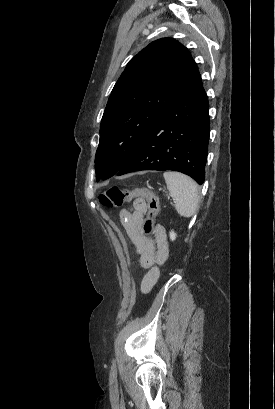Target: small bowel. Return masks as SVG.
<instances>
[{"label": "small bowel", "instance_id": "obj_1", "mask_svg": "<svg viewBox=\"0 0 275 409\" xmlns=\"http://www.w3.org/2000/svg\"><path fill=\"white\" fill-rule=\"evenodd\" d=\"M147 204L143 199L134 200L131 208L121 212V221L126 232L135 247L138 255L139 266L143 269H150L141 282V291L148 292L158 279V275L151 278V273L158 269L153 267L156 264H163L169 255L166 235L162 227L156 229L158 245L156 251L153 250L150 240L144 235L142 225L146 214ZM159 271V269H158Z\"/></svg>", "mask_w": 275, "mask_h": 409}]
</instances>
